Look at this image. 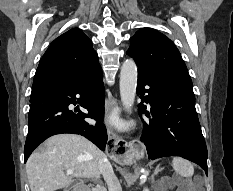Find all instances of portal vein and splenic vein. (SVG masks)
<instances>
[{"mask_svg":"<svg viewBox=\"0 0 233 191\" xmlns=\"http://www.w3.org/2000/svg\"><path fill=\"white\" fill-rule=\"evenodd\" d=\"M66 173H67V174H69V175H71V174H73V173H74V171H73V170H71V169H66Z\"/></svg>","mask_w":233,"mask_h":191,"instance_id":"obj_1","label":"portal vein and splenic vein"}]
</instances>
